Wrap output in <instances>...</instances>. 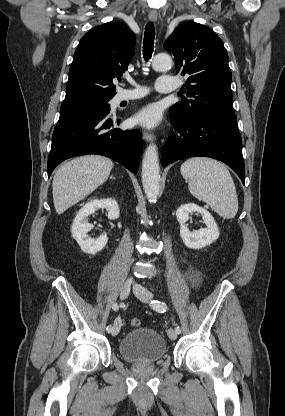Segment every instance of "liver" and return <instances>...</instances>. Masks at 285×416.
Wrapping results in <instances>:
<instances>
[{
  "instance_id": "liver-1",
  "label": "liver",
  "mask_w": 285,
  "mask_h": 416,
  "mask_svg": "<svg viewBox=\"0 0 285 416\" xmlns=\"http://www.w3.org/2000/svg\"><path fill=\"white\" fill-rule=\"evenodd\" d=\"M113 166V162L103 156H81L58 168L52 186L57 214H63L102 186Z\"/></svg>"
}]
</instances>
